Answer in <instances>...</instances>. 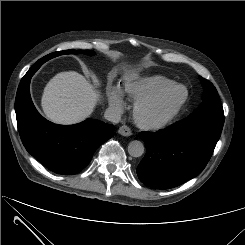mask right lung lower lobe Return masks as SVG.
<instances>
[{
	"label": "right lung lower lobe",
	"instance_id": "1",
	"mask_svg": "<svg viewBox=\"0 0 245 245\" xmlns=\"http://www.w3.org/2000/svg\"><path fill=\"white\" fill-rule=\"evenodd\" d=\"M30 78H22L15 112L18 131L26 150L46 168L62 175L80 172L96 149L114 134V126L87 119L64 126L47 121L35 109L29 91Z\"/></svg>",
	"mask_w": 245,
	"mask_h": 245
}]
</instances>
